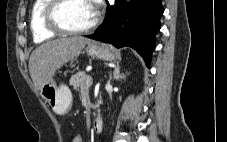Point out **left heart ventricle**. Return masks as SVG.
Masks as SVG:
<instances>
[{
	"instance_id": "left-heart-ventricle-1",
	"label": "left heart ventricle",
	"mask_w": 227,
	"mask_h": 142,
	"mask_svg": "<svg viewBox=\"0 0 227 142\" xmlns=\"http://www.w3.org/2000/svg\"><path fill=\"white\" fill-rule=\"evenodd\" d=\"M60 18L69 28H81L93 21L95 13L88 0H68L61 10Z\"/></svg>"
}]
</instances>
